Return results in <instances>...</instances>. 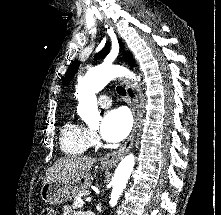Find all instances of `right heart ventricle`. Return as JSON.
<instances>
[{
  "label": "right heart ventricle",
  "instance_id": "1",
  "mask_svg": "<svg viewBox=\"0 0 221 215\" xmlns=\"http://www.w3.org/2000/svg\"><path fill=\"white\" fill-rule=\"evenodd\" d=\"M60 146L66 154H82L90 146L88 129L73 121L64 124L60 134Z\"/></svg>",
  "mask_w": 221,
  "mask_h": 215
}]
</instances>
